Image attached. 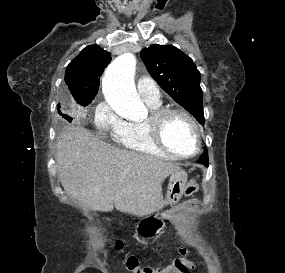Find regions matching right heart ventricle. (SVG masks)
<instances>
[{"label":"right heart ventricle","mask_w":285,"mask_h":273,"mask_svg":"<svg viewBox=\"0 0 285 273\" xmlns=\"http://www.w3.org/2000/svg\"><path fill=\"white\" fill-rule=\"evenodd\" d=\"M146 103L152 111L162 108L161 102ZM115 139L120 146L130 151L169 159L175 158L155 144L145 122H126L124 128Z\"/></svg>","instance_id":"obj_1"}]
</instances>
